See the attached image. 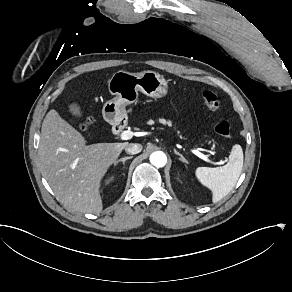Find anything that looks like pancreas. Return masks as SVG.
I'll return each instance as SVG.
<instances>
[{"mask_svg":"<svg viewBox=\"0 0 292 292\" xmlns=\"http://www.w3.org/2000/svg\"><path fill=\"white\" fill-rule=\"evenodd\" d=\"M159 121H160V123L171 125V121H165L164 119H160ZM147 124L153 125L154 124V121L153 120H149L147 122Z\"/></svg>","mask_w":292,"mask_h":292,"instance_id":"1","label":"pancreas"}]
</instances>
